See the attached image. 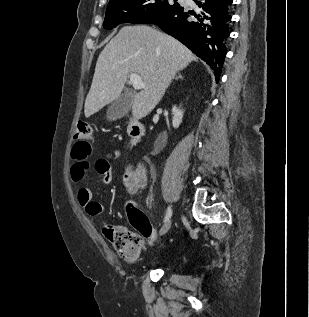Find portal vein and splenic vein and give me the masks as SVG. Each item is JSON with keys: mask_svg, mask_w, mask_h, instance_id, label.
Returning a JSON list of instances; mask_svg holds the SVG:
<instances>
[{"mask_svg": "<svg viewBox=\"0 0 309 317\" xmlns=\"http://www.w3.org/2000/svg\"><path fill=\"white\" fill-rule=\"evenodd\" d=\"M130 81L132 82V86L134 89H142L145 87L144 82L139 74L131 73Z\"/></svg>", "mask_w": 309, "mask_h": 317, "instance_id": "portal-vein-and-splenic-vein-1", "label": "portal vein and splenic vein"}]
</instances>
